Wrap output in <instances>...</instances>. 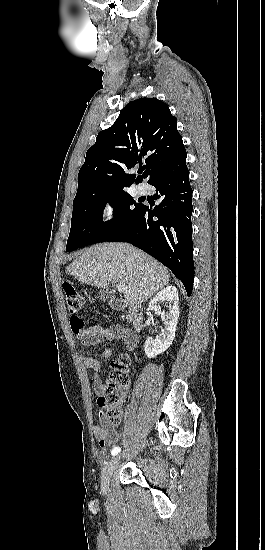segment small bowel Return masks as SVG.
Masks as SVG:
<instances>
[{"instance_id":"1","label":"small bowel","mask_w":265,"mask_h":550,"mask_svg":"<svg viewBox=\"0 0 265 550\" xmlns=\"http://www.w3.org/2000/svg\"><path fill=\"white\" fill-rule=\"evenodd\" d=\"M74 334L81 341L90 344L99 343L101 340H107L109 342L120 340L128 350H133L136 347V337L134 334L119 326L114 328L90 326L83 328L78 332H74ZM112 354L113 349L107 348L101 353L99 359L91 357L83 358L84 365L91 369L95 374V377L93 378V386L96 394L99 396L102 395L104 383L97 376V374L102 370V360L111 358ZM94 434L102 450H107L112 444L117 443L120 440L119 432L106 423L102 414H100L97 423L94 425Z\"/></svg>"}]
</instances>
